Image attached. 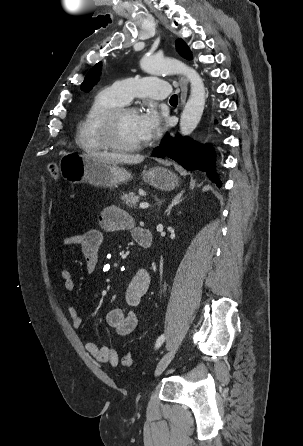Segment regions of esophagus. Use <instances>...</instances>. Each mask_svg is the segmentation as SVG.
I'll use <instances>...</instances> for the list:
<instances>
[{"mask_svg":"<svg viewBox=\"0 0 303 446\" xmlns=\"http://www.w3.org/2000/svg\"><path fill=\"white\" fill-rule=\"evenodd\" d=\"M178 80H179L180 88H181L180 100H181V104L184 105L186 98H187L188 83H187L186 78L183 76H179Z\"/></svg>","mask_w":303,"mask_h":446,"instance_id":"34e87169","label":"esophagus"}]
</instances>
